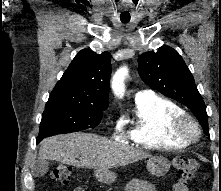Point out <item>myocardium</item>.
I'll list each match as a JSON object with an SVG mask.
<instances>
[{
  "label": "myocardium",
  "instance_id": "f54148a6",
  "mask_svg": "<svg viewBox=\"0 0 221 191\" xmlns=\"http://www.w3.org/2000/svg\"><path fill=\"white\" fill-rule=\"evenodd\" d=\"M171 133L173 136L191 143L199 139L201 128L191 115L184 113L172 122Z\"/></svg>",
  "mask_w": 221,
  "mask_h": 191
}]
</instances>
